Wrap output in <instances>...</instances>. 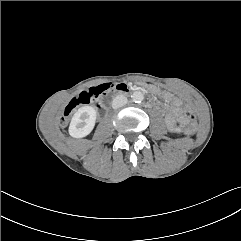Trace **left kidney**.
<instances>
[{"mask_svg": "<svg viewBox=\"0 0 241 241\" xmlns=\"http://www.w3.org/2000/svg\"><path fill=\"white\" fill-rule=\"evenodd\" d=\"M176 132L181 133V132H182L181 127H177V128H176Z\"/></svg>", "mask_w": 241, "mask_h": 241, "instance_id": "1", "label": "left kidney"}]
</instances>
